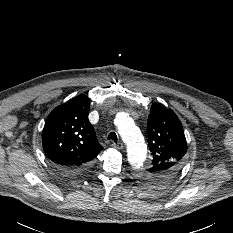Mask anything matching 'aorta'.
I'll list each match as a JSON object with an SVG mask.
<instances>
[{"mask_svg": "<svg viewBox=\"0 0 233 233\" xmlns=\"http://www.w3.org/2000/svg\"><path fill=\"white\" fill-rule=\"evenodd\" d=\"M115 125L123 141L127 145V157L134 168H140L146 159V145L139 128L127 113H118L115 118Z\"/></svg>", "mask_w": 233, "mask_h": 233, "instance_id": "762f6f07", "label": "aorta"}]
</instances>
